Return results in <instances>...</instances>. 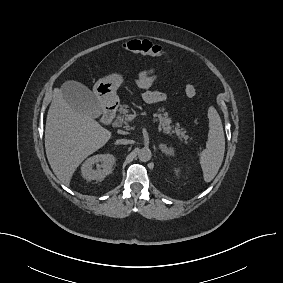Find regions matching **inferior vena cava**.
<instances>
[{
	"mask_svg": "<svg viewBox=\"0 0 283 283\" xmlns=\"http://www.w3.org/2000/svg\"><path fill=\"white\" fill-rule=\"evenodd\" d=\"M117 142L119 143V144H130V143H132V141L131 140H127V139H119V140H117Z\"/></svg>",
	"mask_w": 283,
	"mask_h": 283,
	"instance_id": "obj_1",
	"label": "inferior vena cava"
}]
</instances>
